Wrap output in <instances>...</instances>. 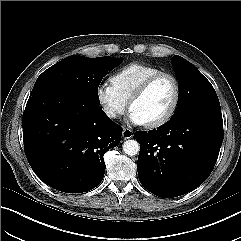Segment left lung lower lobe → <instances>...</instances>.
Listing matches in <instances>:
<instances>
[{
    "label": "left lung lower lobe",
    "mask_w": 241,
    "mask_h": 241,
    "mask_svg": "<svg viewBox=\"0 0 241 241\" xmlns=\"http://www.w3.org/2000/svg\"><path fill=\"white\" fill-rule=\"evenodd\" d=\"M134 137L140 144V183L159 197H177L197 188L212 172L223 142L221 109H189Z\"/></svg>",
    "instance_id": "0a47b994"
}]
</instances>
